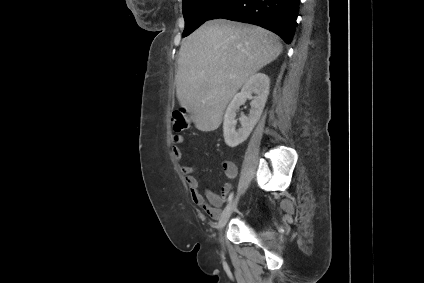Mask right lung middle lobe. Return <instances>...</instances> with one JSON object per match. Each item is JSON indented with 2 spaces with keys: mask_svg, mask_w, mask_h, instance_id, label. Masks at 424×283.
Instances as JSON below:
<instances>
[{
  "mask_svg": "<svg viewBox=\"0 0 424 283\" xmlns=\"http://www.w3.org/2000/svg\"><path fill=\"white\" fill-rule=\"evenodd\" d=\"M228 0H183V15L185 29L182 34L186 37L225 5Z\"/></svg>",
  "mask_w": 424,
  "mask_h": 283,
  "instance_id": "1",
  "label": "right lung middle lobe"
}]
</instances>
